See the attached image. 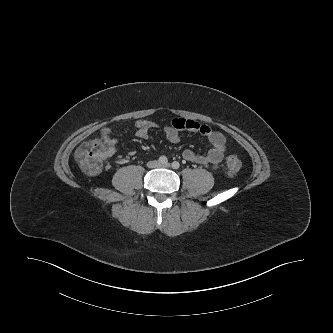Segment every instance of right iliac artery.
<instances>
[{
	"label": "right iliac artery",
	"mask_w": 333,
	"mask_h": 333,
	"mask_svg": "<svg viewBox=\"0 0 333 333\" xmlns=\"http://www.w3.org/2000/svg\"><path fill=\"white\" fill-rule=\"evenodd\" d=\"M158 161L161 164H167L168 163V159H167L166 156H160Z\"/></svg>",
	"instance_id": "obj_1"
}]
</instances>
